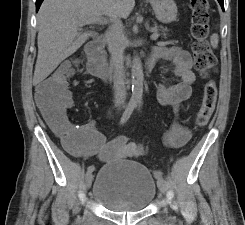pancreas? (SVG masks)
<instances>
[{
	"instance_id": "obj_1",
	"label": "pancreas",
	"mask_w": 245,
	"mask_h": 225,
	"mask_svg": "<svg viewBox=\"0 0 245 225\" xmlns=\"http://www.w3.org/2000/svg\"><path fill=\"white\" fill-rule=\"evenodd\" d=\"M154 30L158 31V30H161L163 33H164V36H166L165 32H167V28H164L162 26H156L154 27Z\"/></svg>"
}]
</instances>
